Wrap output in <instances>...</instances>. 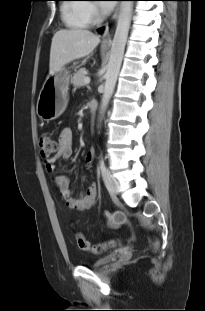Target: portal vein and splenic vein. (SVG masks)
Wrapping results in <instances>:
<instances>
[{"mask_svg": "<svg viewBox=\"0 0 205 311\" xmlns=\"http://www.w3.org/2000/svg\"><path fill=\"white\" fill-rule=\"evenodd\" d=\"M84 83L87 85L90 83V78L89 77H85L84 79Z\"/></svg>", "mask_w": 205, "mask_h": 311, "instance_id": "portal-vein-and-splenic-vein-1", "label": "portal vein and splenic vein"}]
</instances>
